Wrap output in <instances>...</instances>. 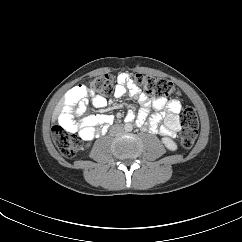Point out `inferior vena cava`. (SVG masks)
Listing matches in <instances>:
<instances>
[{
	"label": "inferior vena cava",
	"mask_w": 242,
	"mask_h": 242,
	"mask_svg": "<svg viewBox=\"0 0 242 242\" xmlns=\"http://www.w3.org/2000/svg\"><path fill=\"white\" fill-rule=\"evenodd\" d=\"M123 131V127L120 125H114L111 129L112 134L118 135L121 134Z\"/></svg>",
	"instance_id": "1"
}]
</instances>
